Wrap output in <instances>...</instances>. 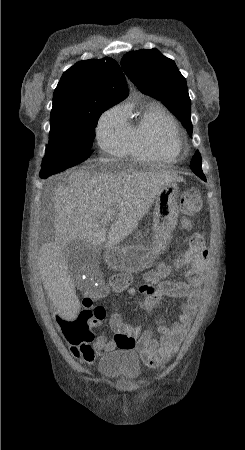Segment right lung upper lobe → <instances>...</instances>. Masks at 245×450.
Here are the masks:
<instances>
[{
    "label": "right lung upper lobe",
    "instance_id": "1",
    "mask_svg": "<svg viewBox=\"0 0 245 450\" xmlns=\"http://www.w3.org/2000/svg\"><path fill=\"white\" fill-rule=\"evenodd\" d=\"M128 96L120 66L105 57L77 62L63 73L53 94L51 116L88 111L98 103H119Z\"/></svg>",
    "mask_w": 245,
    "mask_h": 450
}]
</instances>
